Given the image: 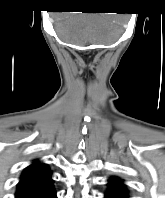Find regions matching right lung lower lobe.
I'll return each mask as SVG.
<instances>
[{"label":"right lung lower lobe","instance_id":"right-lung-lower-lobe-1","mask_svg":"<svg viewBox=\"0 0 165 198\" xmlns=\"http://www.w3.org/2000/svg\"><path fill=\"white\" fill-rule=\"evenodd\" d=\"M31 198H57V197H56V191L53 186L37 195L32 196Z\"/></svg>","mask_w":165,"mask_h":198}]
</instances>
